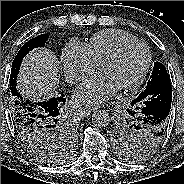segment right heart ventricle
<instances>
[{
    "label": "right heart ventricle",
    "mask_w": 184,
    "mask_h": 184,
    "mask_svg": "<svg viewBox=\"0 0 184 184\" xmlns=\"http://www.w3.org/2000/svg\"><path fill=\"white\" fill-rule=\"evenodd\" d=\"M132 40H136V38L127 32L114 29L103 30L91 37L87 47L94 62L99 64L119 45Z\"/></svg>",
    "instance_id": "obj_1"
}]
</instances>
